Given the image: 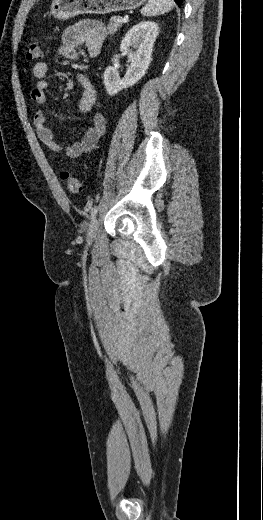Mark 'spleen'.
<instances>
[{
	"instance_id": "3e777b00",
	"label": "spleen",
	"mask_w": 263,
	"mask_h": 520,
	"mask_svg": "<svg viewBox=\"0 0 263 520\" xmlns=\"http://www.w3.org/2000/svg\"><path fill=\"white\" fill-rule=\"evenodd\" d=\"M174 0H148L142 10L143 16H156L170 11L174 7Z\"/></svg>"
}]
</instances>
